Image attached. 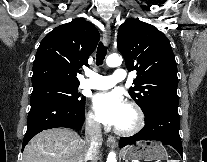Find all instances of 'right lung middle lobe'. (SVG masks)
I'll return each mask as SVG.
<instances>
[{"mask_svg":"<svg viewBox=\"0 0 207 162\" xmlns=\"http://www.w3.org/2000/svg\"><path fill=\"white\" fill-rule=\"evenodd\" d=\"M79 85L47 84L33 88L31 101L41 98H57L72 106L85 104V97L78 93Z\"/></svg>","mask_w":207,"mask_h":162,"instance_id":"right-lung-middle-lobe-1","label":"right lung middle lobe"}]
</instances>
